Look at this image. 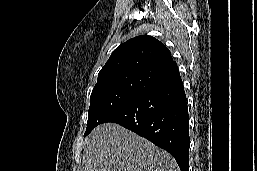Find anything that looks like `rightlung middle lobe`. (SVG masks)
Listing matches in <instances>:
<instances>
[{
  "label": "right lung middle lobe",
  "instance_id": "right-lung-middle-lobe-1",
  "mask_svg": "<svg viewBox=\"0 0 257 171\" xmlns=\"http://www.w3.org/2000/svg\"><path fill=\"white\" fill-rule=\"evenodd\" d=\"M147 89L144 85H107L94 88L91 93V102L88 113V121L84 137L97 125L103 123L106 118L126 104L133 97Z\"/></svg>",
  "mask_w": 257,
  "mask_h": 171
}]
</instances>
